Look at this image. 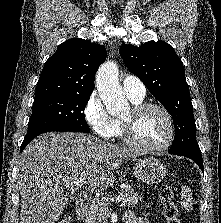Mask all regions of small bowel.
<instances>
[{
  "mask_svg": "<svg viewBox=\"0 0 221 223\" xmlns=\"http://www.w3.org/2000/svg\"><path fill=\"white\" fill-rule=\"evenodd\" d=\"M125 223H150L148 219L144 217H137L133 213H128L125 217Z\"/></svg>",
  "mask_w": 221,
  "mask_h": 223,
  "instance_id": "c3829d8e",
  "label": "small bowel"
}]
</instances>
